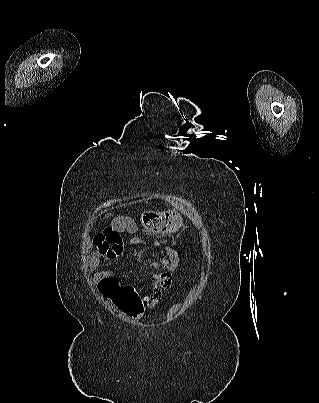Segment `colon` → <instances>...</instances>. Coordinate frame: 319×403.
Returning a JSON list of instances; mask_svg holds the SVG:
<instances>
[{"label": "colon", "instance_id": "1", "mask_svg": "<svg viewBox=\"0 0 319 403\" xmlns=\"http://www.w3.org/2000/svg\"><path fill=\"white\" fill-rule=\"evenodd\" d=\"M114 224V223H113ZM148 229V228H147ZM94 237H95V235H94ZM93 237V238H94ZM154 258L157 260L156 262H155V265H156V267H155V271H154V273H157V272H159V273H161V272H163V269L165 268L164 266H165V263H166V260L165 259H162L163 258V255L161 254V253H156L155 255H154ZM154 273H151V278H152V275L154 274ZM172 280H171V283H170V285L168 286V287H174V278H171ZM153 282H152V279H151V282H148V289H149V286L152 284ZM168 287H163L162 288V291H168ZM149 291V290H148Z\"/></svg>", "mask_w": 319, "mask_h": 403}]
</instances>
